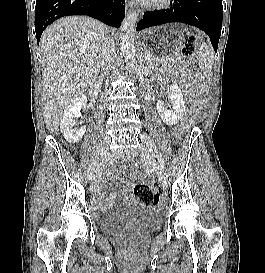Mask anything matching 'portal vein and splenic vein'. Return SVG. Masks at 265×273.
<instances>
[{
	"mask_svg": "<svg viewBox=\"0 0 265 273\" xmlns=\"http://www.w3.org/2000/svg\"><path fill=\"white\" fill-rule=\"evenodd\" d=\"M145 57H146V58H149V57H150V55H149V54H145Z\"/></svg>",
	"mask_w": 265,
	"mask_h": 273,
	"instance_id": "18ae733b",
	"label": "portal vein and splenic vein"
}]
</instances>
